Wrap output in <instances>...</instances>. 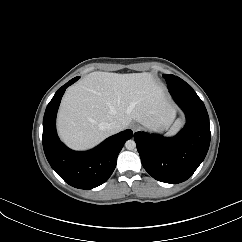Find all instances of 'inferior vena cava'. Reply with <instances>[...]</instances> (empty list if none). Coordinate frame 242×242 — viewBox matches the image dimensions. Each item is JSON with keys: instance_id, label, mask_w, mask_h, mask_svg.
<instances>
[{"instance_id": "602c4592", "label": "inferior vena cava", "mask_w": 242, "mask_h": 242, "mask_svg": "<svg viewBox=\"0 0 242 242\" xmlns=\"http://www.w3.org/2000/svg\"><path fill=\"white\" fill-rule=\"evenodd\" d=\"M106 130L109 132V134H116L123 130V127L118 122H111L106 125Z\"/></svg>"}]
</instances>
